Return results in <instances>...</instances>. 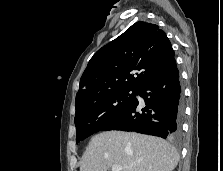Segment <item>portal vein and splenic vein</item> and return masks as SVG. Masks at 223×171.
<instances>
[{
    "label": "portal vein and splenic vein",
    "instance_id": "1",
    "mask_svg": "<svg viewBox=\"0 0 223 171\" xmlns=\"http://www.w3.org/2000/svg\"><path fill=\"white\" fill-rule=\"evenodd\" d=\"M122 170V167L119 166V165H113L112 166V171H121Z\"/></svg>",
    "mask_w": 223,
    "mask_h": 171
}]
</instances>
